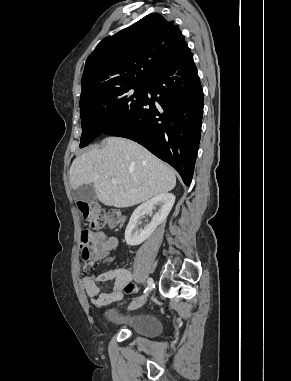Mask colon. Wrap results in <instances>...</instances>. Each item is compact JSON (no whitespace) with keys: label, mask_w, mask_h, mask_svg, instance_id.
Wrapping results in <instances>:
<instances>
[{"label":"colon","mask_w":291,"mask_h":381,"mask_svg":"<svg viewBox=\"0 0 291 381\" xmlns=\"http://www.w3.org/2000/svg\"><path fill=\"white\" fill-rule=\"evenodd\" d=\"M77 207L81 213L83 220L90 224V228H84L80 232L79 237V252L83 262L87 263L91 256L89 242L93 230L100 229L105 226L113 228L117 225L120 219V214L117 211H109L101 209L97 204L84 200L77 201ZM135 289L133 284L125 287L126 292H132Z\"/></svg>","instance_id":"5ec220e1"}]
</instances>
